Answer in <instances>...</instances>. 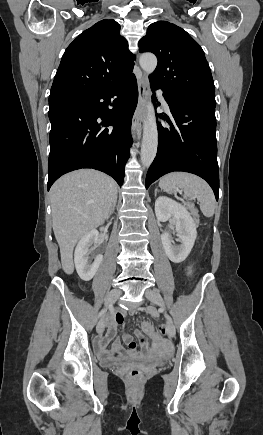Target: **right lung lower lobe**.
Returning a JSON list of instances; mask_svg holds the SVG:
<instances>
[{
    "mask_svg": "<svg viewBox=\"0 0 263 435\" xmlns=\"http://www.w3.org/2000/svg\"><path fill=\"white\" fill-rule=\"evenodd\" d=\"M137 101L132 74L89 95L49 104L48 190L60 176L81 168L102 171L122 185ZM110 125L113 129L106 128Z\"/></svg>",
    "mask_w": 263,
    "mask_h": 435,
    "instance_id": "obj_1",
    "label": "right lung lower lobe"
}]
</instances>
